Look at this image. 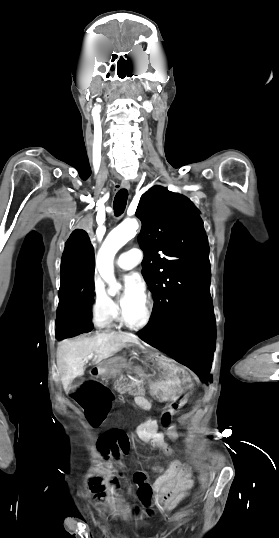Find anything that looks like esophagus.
Instances as JSON below:
<instances>
[{"instance_id": "34e87169", "label": "esophagus", "mask_w": 279, "mask_h": 538, "mask_svg": "<svg viewBox=\"0 0 279 538\" xmlns=\"http://www.w3.org/2000/svg\"><path fill=\"white\" fill-rule=\"evenodd\" d=\"M121 186L122 188H125L126 190H129L130 188V184L127 180H122Z\"/></svg>"}]
</instances>
